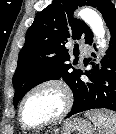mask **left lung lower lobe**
<instances>
[{"instance_id":"obj_1","label":"left lung lower lobe","mask_w":116,"mask_h":134,"mask_svg":"<svg viewBox=\"0 0 116 134\" xmlns=\"http://www.w3.org/2000/svg\"><path fill=\"white\" fill-rule=\"evenodd\" d=\"M110 30V43L101 61V69L81 72L73 89L74 103L68 117L92 110L106 108L116 111V9L113 7L104 18ZM93 40L89 43L92 45ZM85 74L91 83H84Z\"/></svg>"}]
</instances>
